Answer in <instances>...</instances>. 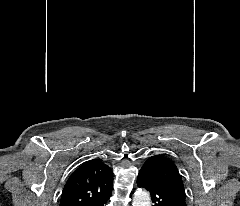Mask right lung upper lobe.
Masks as SVG:
<instances>
[{
  "instance_id": "right-lung-upper-lobe-1",
  "label": "right lung upper lobe",
  "mask_w": 240,
  "mask_h": 206,
  "mask_svg": "<svg viewBox=\"0 0 240 206\" xmlns=\"http://www.w3.org/2000/svg\"><path fill=\"white\" fill-rule=\"evenodd\" d=\"M111 169L101 160L82 164L68 179L59 206H88L112 191Z\"/></svg>"
}]
</instances>
